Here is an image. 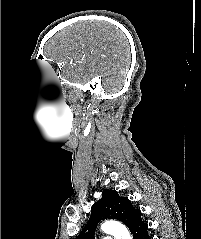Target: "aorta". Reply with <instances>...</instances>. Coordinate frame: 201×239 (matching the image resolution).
Instances as JSON below:
<instances>
[{"label": "aorta", "instance_id": "obj_1", "mask_svg": "<svg viewBox=\"0 0 201 239\" xmlns=\"http://www.w3.org/2000/svg\"><path fill=\"white\" fill-rule=\"evenodd\" d=\"M101 230L111 234L115 239H132L128 229L118 221L107 220L101 225Z\"/></svg>", "mask_w": 201, "mask_h": 239}]
</instances>
